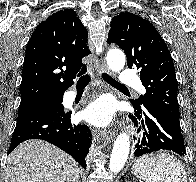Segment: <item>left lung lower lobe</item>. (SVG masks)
Listing matches in <instances>:
<instances>
[{
	"label": "left lung lower lobe",
	"mask_w": 196,
	"mask_h": 182,
	"mask_svg": "<svg viewBox=\"0 0 196 182\" xmlns=\"http://www.w3.org/2000/svg\"><path fill=\"white\" fill-rule=\"evenodd\" d=\"M135 114L130 115L141 136L135 144L134 156L139 157L158 150H169L186 155L179 120L157 105L146 103L143 109L131 101Z\"/></svg>",
	"instance_id": "1"
}]
</instances>
